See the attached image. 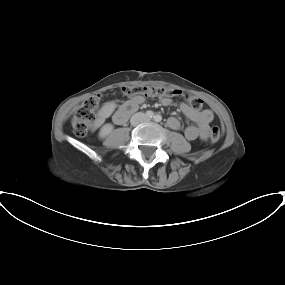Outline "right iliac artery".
<instances>
[{
    "label": "right iliac artery",
    "instance_id": "1",
    "mask_svg": "<svg viewBox=\"0 0 285 285\" xmlns=\"http://www.w3.org/2000/svg\"><path fill=\"white\" fill-rule=\"evenodd\" d=\"M146 116H147L148 118H153V117H154V113H153L152 111L148 110V111L146 112Z\"/></svg>",
    "mask_w": 285,
    "mask_h": 285
}]
</instances>
